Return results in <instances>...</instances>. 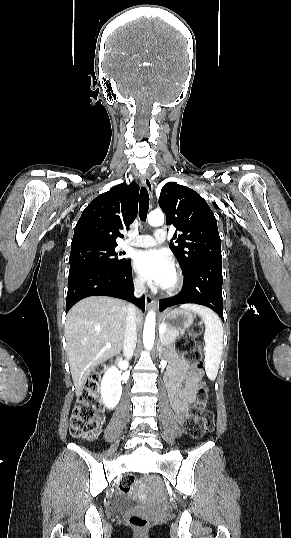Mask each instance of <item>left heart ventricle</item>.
Masks as SVG:
<instances>
[{"label":"left heart ventricle","instance_id":"left-heart-ventricle-1","mask_svg":"<svg viewBox=\"0 0 291 538\" xmlns=\"http://www.w3.org/2000/svg\"><path fill=\"white\" fill-rule=\"evenodd\" d=\"M172 281H173V274L170 276V278L168 279V281H167V283L165 284V286L171 284Z\"/></svg>","mask_w":291,"mask_h":538}]
</instances>
